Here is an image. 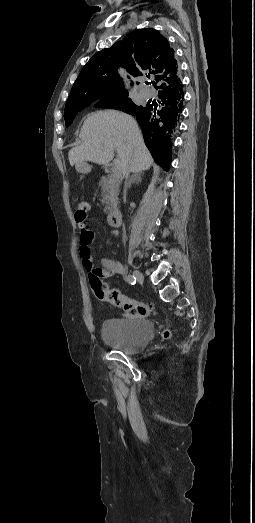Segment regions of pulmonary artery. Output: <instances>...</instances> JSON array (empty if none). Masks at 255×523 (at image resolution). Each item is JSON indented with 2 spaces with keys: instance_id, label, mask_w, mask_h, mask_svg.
<instances>
[{
  "instance_id": "e3ab8cb5",
  "label": "pulmonary artery",
  "mask_w": 255,
  "mask_h": 523,
  "mask_svg": "<svg viewBox=\"0 0 255 523\" xmlns=\"http://www.w3.org/2000/svg\"><path fill=\"white\" fill-rule=\"evenodd\" d=\"M139 94L140 96L143 98V99H150L152 96H154L155 94V90L152 89V88H149V87H144L142 88L140 91H139Z\"/></svg>"
}]
</instances>
